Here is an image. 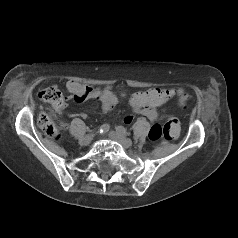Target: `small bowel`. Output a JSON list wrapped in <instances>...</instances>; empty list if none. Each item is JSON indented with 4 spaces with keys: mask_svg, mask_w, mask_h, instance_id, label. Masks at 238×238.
<instances>
[{
    "mask_svg": "<svg viewBox=\"0 0 238 238\" xmlns=\"http://www.w3.org/2000/svg\"><path fill=\"white\" fill-rule=\"evenodd\" d=\"M67 88L71 93L70 98L75 102L81 103L88 99H96L101 102L102 110L104 113L110 112L117 103V95L113 92L110 86L105 88L94 87L90 85H83L76 81H69ZM174 95L172 89H159L152 88L144 92H136L131 94L129 98V104L134 113L142 114L147 117L151 122L161 120L164 116L157 110V107L164 104L171 96ZM126 93L121 92L120 97H125ZM66 104L54 108L56 112L64 110ZM70 116L74 117L77 114L70 113ZM81 117H85V114H80ZM133 114L125 116L124 122L129 124L133 121Z\"/></svg>",
    "mask_w": 238,
    "mask_h": 238,
    "instance_id": "1",
    "label": "small bowel"
}]
</instances>
